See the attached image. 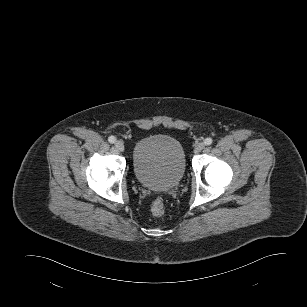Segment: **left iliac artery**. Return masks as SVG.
<instances>
[{
    "label": "left iliac artery",
    "mask_w": 307,
    "mask_h": 307,
    "mask_svg": "<svg viewBox=\"0 0 307 307\" xmlns=\"http://www.w3.org/2000/svg\"><path fill=\"white\" fill-rule=\"evenodd\" d=\"M212 142H213V140L210 137L206 138L205 141H204L205 145H211Z\"/></svg>",
    "instance_id": "obj_1"
}]
</instances>
